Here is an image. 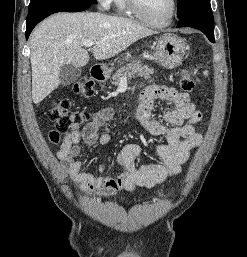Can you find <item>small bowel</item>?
I'll return each instance as SVG.
<instances>
[{
	"label": "small bowel",
	"mask_w": 247,
	"mask_h": 257,
	"mask_svg": "<svg viewBox=\"0 0 247 257\" xmlns=\"http://www.w3.org/2000/svg\"><path fill=\"white\" fill-rule=\"evenodd\" d=\"M156 99L168 101L172 105L160 119H154L152 115ZM114 116L112 108L98 110L83 130L66 132L56 152L57 158L62 161L68 175L79 188L86 194L97 192L99 199L113 196L120 190L151 189L163 184L167 179L180 174L190 152L202 143V136L194 127L202 115L195 109L188 94L166 86L151 85L140 95L136 117L151 134L164 136V143L154 149L161 163L137 166L136 159L141 155L142 149L138 144L128 143L118 154L117 160L123 172L117 178L81 172L82 161L78 157L82 143L107 144L110 135L100 133V129L111 122ZM102 170L101 167L100 171Z\"/></svg>",
	"instance_id": "obj_1"
}]
</instances>
